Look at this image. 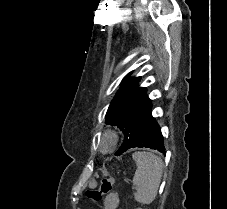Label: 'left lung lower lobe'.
I'll return each mask as SVG.
<instances>
[{
  "mask_svg": "<svg viewBox=\"0 0 227 209\" xmlns=\"http://www.w3.org/2000/svg\"><path fill=\"white\" fill-rule=\"evenodd\" d=\"M151 148L156 149L165 154V147L161 129L155 119L151 115V109L145 114L140 122L135 138L130 148Z\"/></svg>",
  "mask_w": 227,
  "mask_h": 209,
  "instance_id": "obj_1",
  "label": "left lung lower lobe"
}]
</instances>
